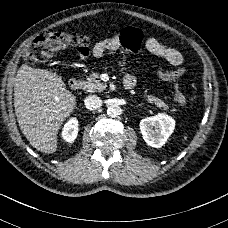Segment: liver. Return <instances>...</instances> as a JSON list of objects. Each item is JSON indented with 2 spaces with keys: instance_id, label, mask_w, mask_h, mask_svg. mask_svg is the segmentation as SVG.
Returning a JSON list of instances; mask_svg holds the SVG:
<instances>
[{
  "instance_id": "6515ba94",
  "label": "liver",
  "mask_w": 228,
  "mask_h": 228,
  "mask_svg": "<svg viewBox=\"0 0 228 228\" xmlns=\"http://www.w3.org/2000/svg\"><path fill=\"white\" fill-rule=\"evenodd\" d=\"M76 105V97L53 72L23 64L17 71L14 107L18 124L38 151L54 153L57 134Z\"/></svg>"
}]
</instances>
